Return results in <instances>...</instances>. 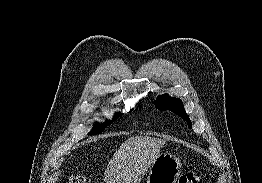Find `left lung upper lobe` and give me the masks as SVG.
<instances>
[{
  "label": "left lung upper lobe",
  "instance_id": "left-lung-upper-lobe-1",
  "mask_svg": "<svg viewBox=\"0 0 262 183\" xmlns=\"http://www.w3.org/2000/svg\"><path fill=\"white\" fill-rule=\"evenodd\" d=\"M154 103L159 110H170L175 112L182 119L186 120L188 126L191 128V121L186 114L183 102L180 99L172 98L167 94H163L159 95Z\"/></svg>",
  "mask_w": 262,
  "mask_h": 183
}]
</instances>
